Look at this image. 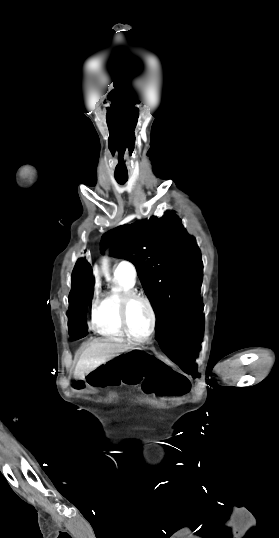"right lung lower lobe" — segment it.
I'll use <instances>...</instances> for the list:
<instances>
[{"instance_id":"98d812e1","label":"right lung lower lobe","mask_w":279,"mask_h":538,"mask_svg":"<svg viewBox=\"0 0 279 538\" xmlns=\"http://www.w3.org/2000/svg\"><path fill=\"white\" fill-rule=\"evenodd\" d=\"M93 298L92 268L85 259H79L72 273V289L69 295V334L87 335L86 308Z\"/></svg>"}]
</instances>
